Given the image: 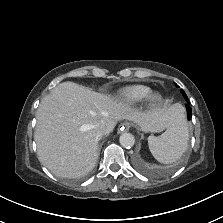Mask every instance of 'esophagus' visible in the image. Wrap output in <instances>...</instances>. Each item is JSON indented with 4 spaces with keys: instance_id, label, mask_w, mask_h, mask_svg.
<instances>
[{
    "instance_id": "esophagus-1",
    "label": "esophagus",
    "mask_w": 223,
    "mask_h": 223,
    "mask_svg": "<svg viewBox=\"0 0 223 223\" xmlns=\"http://www.w3.org/2000/svg\"><path fill=\"white\" fill-rule=\"evenodd\" d=\"M130 128V124L128 122L122 123L120 125V131H128Z\"/></svg>"
}]
</instances>
